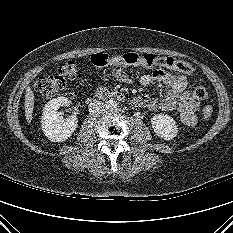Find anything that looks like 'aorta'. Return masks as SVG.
I'll list each match as a JSON object with an SVG mask.
<instances>
[{"instance_id": "762f6f07", "label": "aorta", "mask_w": 233, "mask_h": 233, "mask_svg": "<svg viewBox=\"0 0 233 233\" xmlns=\"http://www.w3.org/2000/svg\"><path fill=\"white\" fill-rule=\"evenodd\" d=\"M117 107H118V103L116 100L110 99L106 102L107 110L113 111V110L117 109Z\"/></svg>"}]
</instances>
